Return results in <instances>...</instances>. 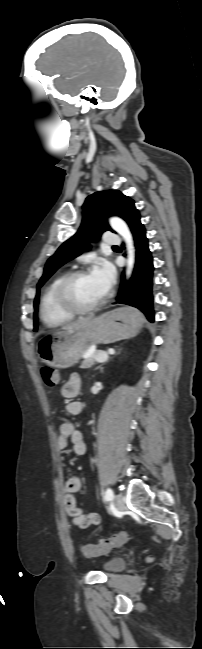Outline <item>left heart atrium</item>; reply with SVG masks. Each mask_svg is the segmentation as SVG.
Instances as JSON below:
<instances>
[{
    "label": "left heart atrium",
    "instance_id": "obj_1",
    "mask_svg": "<svg viewBox=\"0 0 202 649\" xmlns=\"http://www.w3.org/2000/svg\"><path fill=\"white\" fill-rule=\"evenodd\" d=\"M90 277L101 291L106 293L114 282L115 270L111 263L104 259H99L95 262L90 272Z\"/></svg>",
    "mask_w": 202,
    "mask_h": 649
}]
</instances>
